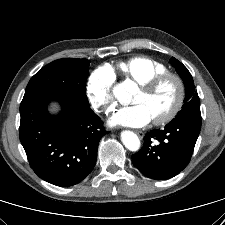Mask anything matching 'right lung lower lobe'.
<instances>
[{"mask_svg": "<svg viewBox=\"0 0 225 225\" xmlns=\"http://www.w3.org/2000/svg\"><path fill=\"white\" fill-rule=\"evenodd\" d=\"M62 111L52 116L49 101ZM20 141L34 172L62 187L73 186L92 171L100 139L108 133L90 107L70 100L46 97L23 99L20 105Z\"/></svg>", "mask_w": 225, "mask_h": 225, "instance_id": "right-lung-lower-lobe-1", "label": "right lung lower lobe"}]
</instances>
